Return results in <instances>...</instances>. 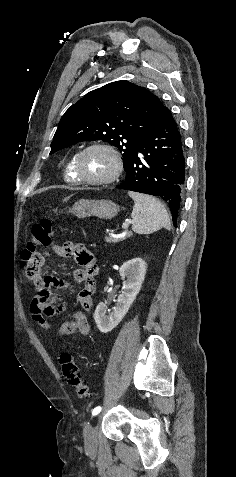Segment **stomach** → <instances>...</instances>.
Masks as SVG:
<instances>
[{"label": "stomach", "instance_id": "0dacf381", "mask_svg": "<svg viewBox=\"0 0 236 477\" xmlns=\"http://www.w3.org/2000/svg\"><path fill=\"white\" fill-rule=\"evenodd\" d=\"M120 210V207L110 200H87L81 199L69 208V212L78 218L97 216L101 219H112Z\"/></svg>", "mask_w": 236, "mask_h": 477}]
</instances>
